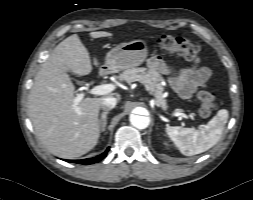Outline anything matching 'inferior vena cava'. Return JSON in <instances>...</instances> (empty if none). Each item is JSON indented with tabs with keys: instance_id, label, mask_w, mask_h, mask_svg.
Wrapping results in <instances>:
<instances>
[{
	"instance_id": "602c4592",
	"label": "inferior vena cava",
	"mask_w": 253,
	"mask_h": 200,
	"mask_svg": "<svg viewBox=\"0 0 253 200\" xmlns=\"http://www.w3.org/2000/svg\"><path fill=\"white\" fill-rule=\"evenodd\" d=\"M117 104V99L115 97H105L101 102V108L103 110L113 109Z\"/></svg>"
}]
</instances>
